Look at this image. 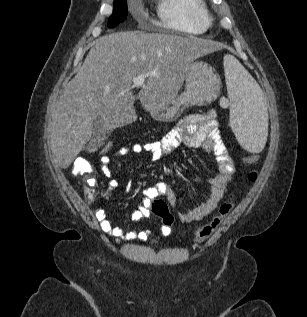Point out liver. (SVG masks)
<instances>
[{
	"instance_id": "1",
	"label": "liver",
	"mask_w": 307,
	"mask_h": 317,
	"mask_svg": "<svg viewBox=\"0 0 307 317\" xmlns=\"http://www.w3.org/2000/svg\"><path fill=\"white\" fill-rule=\"evenodd\" d=\"M219 50L210 40L167 33L124 31L97 39L64 87L53 116L51 149L61 168H68L90 140L97 117L108 131L137 119L132 83L138 75L154 74L137 96L148 111L178 94L194 59Z\"/></svg>"
}]
</instances>
